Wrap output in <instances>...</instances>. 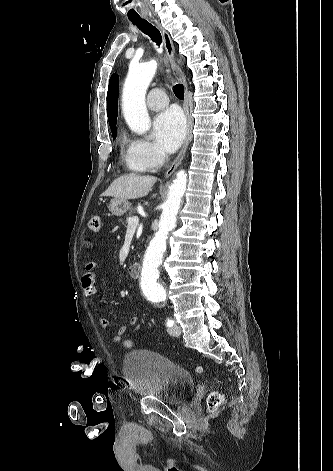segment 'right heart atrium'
Here are the masks:
<instances>
[{
  "instance_id": "obj_1",
  "label": "right heart atrium",
  "mask_w": 333,
  "mask_h": 471,
  "mask_svg": "<svg viewBox=\"0 0 333 471\" xmlns=\"http://www.w3.org/2000/svg\"><path fill=\"white\" fill-rule=\"evenodd\" d=\"M128 154L132 162L144 171H156L166 160L164 153L153 143L139 137L128 142Z\"/></svg>"
}]
</instances>
